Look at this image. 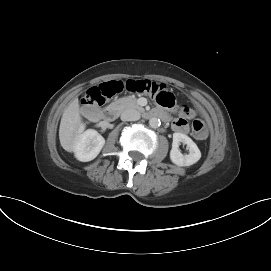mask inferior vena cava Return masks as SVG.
<instances>
[{"instance_id": "602c4592", "label": "inferior vena cava", "mask_w": 271, "mask_h": 271, "mask_svg": "<svg viewBox=\"0 0 271 271\" xmlns=\"http://www.w3.org/2000/svg\"><path fill=\"white\" fill-rule=\"evenodd\" d=\"M140 119V113L135 109H127L122 112V121H137Z\"/></svg>"}]
</instances>
